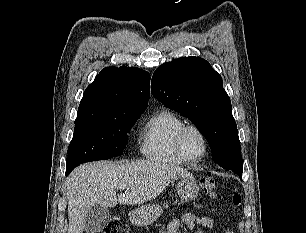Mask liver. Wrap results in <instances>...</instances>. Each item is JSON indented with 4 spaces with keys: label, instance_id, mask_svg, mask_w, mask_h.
Wrapping results in <instances>:
<instances>
[{
    "label": "liver",
    "instance_id": "1",
    "mask_svg": "<svg viewBox=\"0 0 306 233\" xmlns=\"http://www.w3.org/2000/svg\"><path fill=\"white\" fill-rule=\"evenodd\" d=\"M191 175L186 169L161 158L115 164L106 161L78 166L67 178L68 233H83L84 217L95 204L114 207L136 205L160 195L169 183ZM124 193L116 195L120 185Z\"/></svg>",
    "mask_w": 306,
    "mask_h": 233
}]
</instances>
